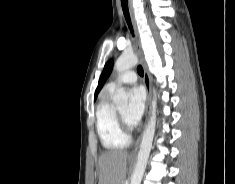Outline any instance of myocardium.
<instances>
[{
  "instance_id": "myocardium-1",
  "label": "myocardium",
  "mask_w": 235,
  "mask_h": 184,
  "mask_svg": "<svg viewBox=\"0 0 235 184\" xmlns=\"http://www.w3.org/2000/svg\"><path fill=\"white\" fill-rule=\"evenodd\" d=\"M117 116L121 129L127 136H130L133 132V129L128 125L126 119L121 114H118Z\"/></svg>"
}]
</instances>
